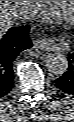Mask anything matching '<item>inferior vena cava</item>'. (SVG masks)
<instances>
[{"label": "inferior vena cava", "instance_id": "inferior-vena-cava-1", "mask_svg": "<svg viewBox=\"0 0 74 122\" xmlns=\"http://www.w3.org/2000/svg\"><path fill=\"white\" fill-rule=\"evenodd\" d=\"M37 14L36 6L34 4H28L23 6L20 10V19L30 20L34 18Z\"/></svg>", "mask_w": 74, "mask_h": 122}]
</instances>
